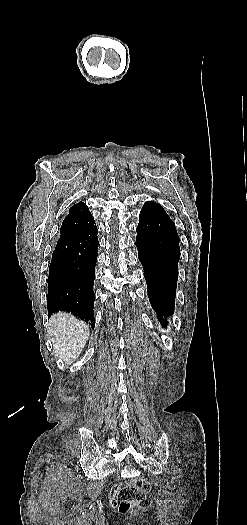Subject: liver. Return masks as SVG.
<instances>
[{"instance_id":"1","label":"liver","mask_w":247,"mask_h":525,"mask_svg":"<svg viewBox=\"0 0 247 525\" xmlns=\"http://www.w3.org/2000/svg\"><path fill=\"white\" fill-rule=\"evenodd\" d=\"M47 333L59 369H65L77 361L90 335L89 325L78 321L71 313L51 315Z\"/></svg>"}]
</instances>
